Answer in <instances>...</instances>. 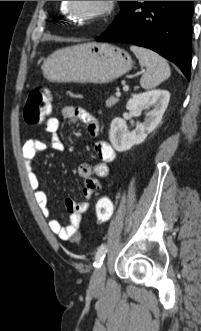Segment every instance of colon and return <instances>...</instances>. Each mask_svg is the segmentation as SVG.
Returning a JSON list of instances; mask_svg holds the SVG:
<instances>
[{
	"label": "colon",
	"mask_w": 201,
	"mask_h": 331,
	"mask_svg": "<svg viewBox=\"0 0 201 331\" xmlns=\"http://www.w3.org/2000/svg\"><path fill=\"white\" fill-rule=\"evenodd\" d=\"M51 111L49 96L41 90L29 93L24 106V119L28 124H41L46 121ZM113 203L110 198L103 196L97 200L95 215L98 223L108 222L113 215Z\"/></svg>",
	"instance_id": "1"
}]
</instances>
